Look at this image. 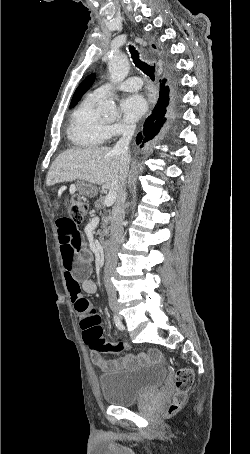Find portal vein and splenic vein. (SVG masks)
Here are the masks:
<instances>
[{"instance_id":"1","label":"portal vein and splenic vein","mask_w":250,"mask_h":454,"mask_svg":"<svg viewBox=\"0 0 250 454\" xmlns=\"http://www.w3.org/2000/svg\"><path fill=\"white\" fill-rule=\"evenodd\" d=\"M116 192L115 191H109V193L106 195L105 199H104V205L106 207H110L114 204V202L116 201Z\"/></svg>"}]
</instances>
